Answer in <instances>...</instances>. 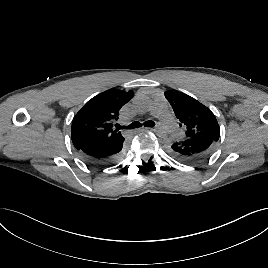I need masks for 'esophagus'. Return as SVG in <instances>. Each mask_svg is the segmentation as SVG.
Listing matches in <instances>:
<instances>
[{
  "instance_id": "1",
  "label": "esophagus",
  "mask_w": 268,
  "mask_h": 268,
  "mask_svg": "<svg viewBox=\"0 0 268 268\" xmlns=\"http://www.w3.org/2000/svg\"><path fill=\"white\" fill-rule=\"evenodd\" d=\"M143 129H149V130H152V131L155 130V128H149V127H143Z\"/></svg>"
}]
</instances>
